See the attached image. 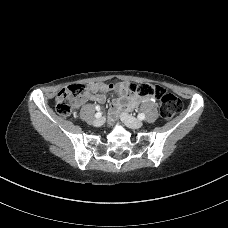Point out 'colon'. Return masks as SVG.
<instances>
[{
    "mask_svg": "<svg viewBox=\"0 0 228 228\" xmlns=\"http://www.w3.org/2000/svg\"><path fill=\"white\" fill-rule=\"evenodd\" d=\"M130 92L140 97L156 96L160 98V113L164 119H171L182 108L181 100L173 94L163 92L159 87L151 84L130 83L128 86ZM83 84H72L62 89L56 96V110L61 116H69L81 95L84 93Z\"/></svg>",
    "mask_w": 228,
    "mask_h": 228,
    "instance_id": "colon-1",
    "label": "colon"
}]
</instances>
